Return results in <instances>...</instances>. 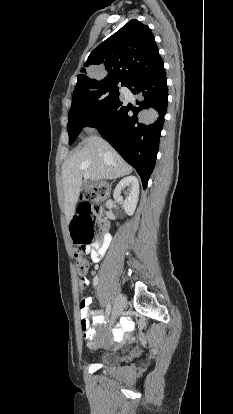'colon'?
Instances as JSON below:
<instances>
[{
    "label": "colon",
    "mask_w": 233,
    "mask_h": 414,
    "mask_svg": "<svg viewBox=\"0 0 233 414\" xmlns=\"http://www.w3.org/2000/svg\"><path fill=\"white\" fill-rule=\"evenodd\" d=\"M109 188L106 185H99L92 188L86 193V198H94V203H84L77 209V213L71 221L70 230L77 246L74 252L75 266L78 272L87 273L89 268L88 261L84 258L85 249L92 244L94 239L100 234L105 227V223L101 217V207L97 201L108 196ZM81 289H84L83 283H80Z\"/></svg>",
    "instance_id": "colon-1"
}]
</instances>
